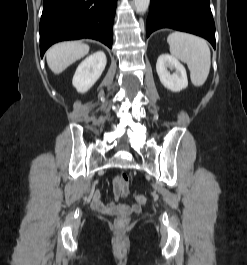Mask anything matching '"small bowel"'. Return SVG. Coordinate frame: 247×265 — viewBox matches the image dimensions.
Wrapping results in <instances>:
<instances>
[{"mask_svg": "<svg viewBox=\"0 0 247 265\" xmlns=\"http://www.w3.org/2000/svg\"><path fill=\"white\" fill-rule=\"evenodd\" d=\"M115 199L111 203H104L101 200V193L96 190L93 193L91 206L94 210L107 215H117L119 217L128 216L130 214H137L141 208L138 204H128L122 202V199L127 196V192L121 191L118 184L114 183Z\"/></svg>", "mask_w": 247, "mask_h": 265, "instance_id": "obj_1", "label": "small bowel"}]
</instances>
